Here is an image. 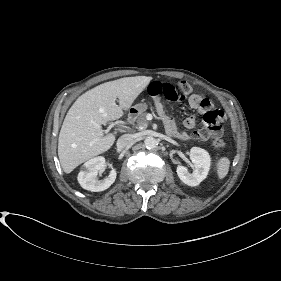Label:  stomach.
I'll return each instance as SVG.
<instances>
[{
    "label": "stomach",
    "instance_id": "obj_1",
    "mask_svg": "<svg viewBox=\"0 0 281 281\" xmlns=\"http://www.w3.org/2000/svg\"><path fill=\"white\" fill-rule=\"evenodd\" d=\"M147 108H148V106L146 103H139L132 107V113L134 115H140L141 113L146 111Z\"/></svg>",
    "mask_w": 281,
    "mask_h": 281
}]
</instances>
